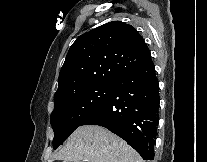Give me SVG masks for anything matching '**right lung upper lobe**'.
I'll return each mask as SVG.
<instances>
[{
    "instance_id": "right-lung-upper-lobe-1",
    "label": "right lung upper lobe",
    "mask_w": 207,
    "mask_h": 162,
    "mask_svg": "<svg viewBox=\"0 0 207 162\" xmlns=\"http://www.w3.org/2000/svg\"><path fill=\"white\" fill-rule=\"evenodd\" d=\"M150 61V51L133 26L121 21L106 23L72 44L54 98L90 86L115 84L124 74Z\"/></svg>"
}]
</instances>
